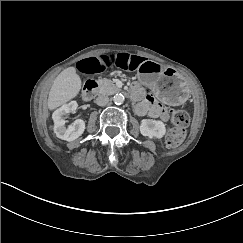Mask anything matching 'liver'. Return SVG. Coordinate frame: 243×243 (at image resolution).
<instances>
[{
	"label": "liver",
	"instance_id": "1",
	"mask_svg": "<svg viewBox=\"0 0 243 243\" xmlns=\"http://www.w3.org/2000/svg\"><path fill=\"white\" fill-rule=\"evenodd\" d=\"M82 88V79L75 66H69L61 71L53 80L48 93L47 108L55 111L57 108L76 98Z\"/></svg>",
	"mask_w": 243,
	"mask_h": 243
}]
</instances>
